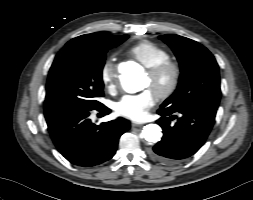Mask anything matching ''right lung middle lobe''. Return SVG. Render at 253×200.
Here are the masks:
<instances>
[{
  "mask_svg": "<svg viewBox=\"0 0 253 200\" xmlns=\"http://www.w3.org/2000/svg\"><path fill=\"white\" fill-rule=\"evenodd\" d=\"M128 35L113 36L98 45L67 43L57 54L48 75L45 111L97 109L103 96L102 69L106 52Z\"/></svg>",
  "mask_w": 253,
  "mask_h": 200,
  "instance_id": "1",
  "label": "right lung middle lobe"
}]
</instances>
